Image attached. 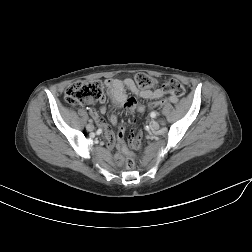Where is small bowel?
Segmentation results:
<instances>
[{"label": "small bowel", "mask_w": 252, "mask_h": 252, "mask_svg": "<svg viewBox=\"0 0 252 252\" xmlns=\"http://www.w3.org/2000/svg\"><path fill=\"white\" fill-rule=\"evenodd\" d=\"M105 86L113 104L129 112H144L146 108L144 105L140 104L135 97L128 95L127 91L146 100L161 99L165 97L162 104L168 102H178V97L173 95L166 96L162 89L140 90L131 78H126L124 80L109 78L105 80ZM102 100H104V98ZM90 103L91 102H88V104ZM106 111V107L100 108L101 114L106 113ZM89 114L100 126L106 127V123L100 118L98 111L93 108H89ZM110 123L113 126L118 124V117L115 113L110 115ZM114 148H117L118 152L113 155V161L120 165L122 161V153L126 152L123 126H121L117 137H115L112 133H108L107 135V149L111 151Z\"/></svg>", "instance_id": "obj_1"}]
</instances>
